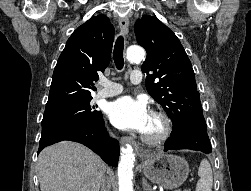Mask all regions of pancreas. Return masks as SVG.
I'll return each instance as SVG.
<instances>
[{"label":"pancreas","mask_w":251,"mask_h":191,"mask_svg":"<svg viewBox=\"0 0 251 191\" xmlns=\"http://www.w3.org/2000/svg\"><path fill=\"white\" fill-rule=\"evenodd\" d=\"M152 191H153V189H152ZM177 191H181V189H177Z\"/></svg>","instance_id":"obj_1"}]
</instances>
